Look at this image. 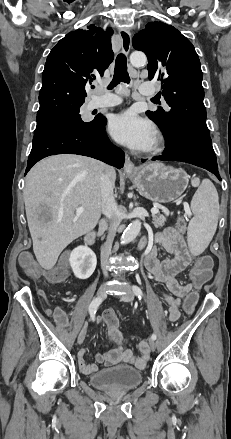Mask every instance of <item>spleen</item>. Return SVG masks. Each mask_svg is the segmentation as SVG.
Wrapping results in <instances>:
<instances>
[{
    "label": "spleen",
    "mask_w": 231,
    "mask_h": 439,
    "mask_svg": "<svg viewBox=\"0 0 231 439\" xmlns=\"http://www.w3.org/2000/svg\"><path fill=\"white\" fill-rule=\"evenodd\" d=\"M194 217L188 225V244L193 255L201 254L212 240L218 224L219 197L209 179H203L191 201Z\"/></svg>",
    "instance_id": "spleen-1"
}]
</instances>
